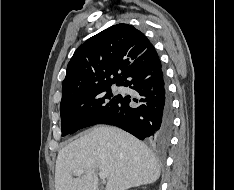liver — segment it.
I'll return each mask as SVG.
<instances>
[{"label":"liver","instance_id":"1","mask_svg":"<svg viewBox=\"0 0 234 190\" xmlns=\"http://www.w3.org/2000/svg\"><path fill=\"white\" fill-rule=\"evenodd\" d=\"M79 169L84 174L74 178ZM98 170L107 174L106 190H127L160 177L158 160L144 143L119 128L97 126L59 151L55 190H97Z\"/></svg>","mask_w":234,"mask_h":190}]
</instances>
